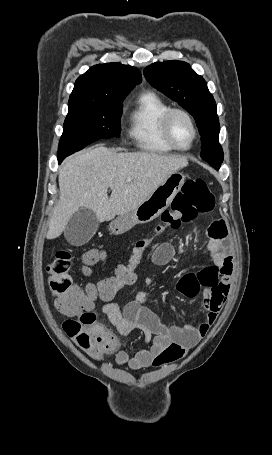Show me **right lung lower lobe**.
Masks as SVG:
<instances>
[{
  "instance_id": "right-lung-lower-lobe-1",
  "label": "right lung lower lobe",
  "mask_w": 272,
  "mask_h": 455,
  "mask_svg": "<svg viewBox=\"0 0 272 455\" xmlns=\"http://www.w3.org/2000/svg\"><path fill=\"white\" fill-rule=\"evenodd\" d=\"M63 159L58 157V162L60 163Z\"/></svg>"
}]
</instances>
